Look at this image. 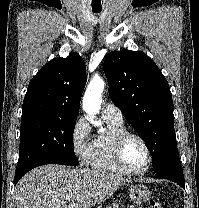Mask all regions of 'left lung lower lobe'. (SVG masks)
I'll use <instances>...</instances> for the list:
<instances>
[{"label": "left lung lower lobe", "mask_w": 199, "mask_h": 208, "mask_svg": "<svg viewBox=\"0 0 199 208\" xmlns=\"http://www.w3.org/2000/svg\"><path fill=\"white\" fill-rule=\"evenodd\" d=\"M154 171L156 172V175L154 176L155 178H165L185 188V181L179 155H176L165 165L155 169Z\"/></svg>", "instance_id": "0a47b994"}]
</instances>
